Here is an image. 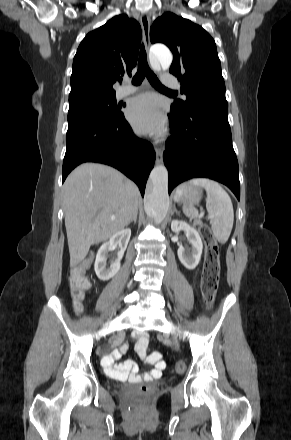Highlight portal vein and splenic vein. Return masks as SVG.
<instances>
[{"mask_svg": "<svg viewBox=\"0 0 291 440\" xmlns=\"http://www.w3.org/2000/svg\"><path fill=\"white\" fill-rule=\"evenodd\" d=\"M202 216H203V213H201L200 217H202Z\"/></svg>", "mask_w": 291, "mask_h": 440, "instance_id": "portal-vein-and-splenic-vein-1", "label": "portal vein and splenic vein"}]
</instances>
